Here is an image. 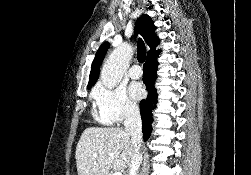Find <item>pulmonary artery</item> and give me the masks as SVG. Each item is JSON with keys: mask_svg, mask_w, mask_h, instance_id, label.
<instances>
[{"mask_svg": "<svg viewBox=\"0 0 251 175\" xmlns=\"http://www.w3.org/2000/svg\"><path fill=\"white\" fill-rule=\"evenodd\" d=\"M129 74L132 78H139L142 76V69L138 65L134 64L129 69Z\"/></svg>", "mask_w": 251, "mask_h": 175, "instance_id": "e3ab8cb5", "label": "pulmonary artery"}]
</instances>
